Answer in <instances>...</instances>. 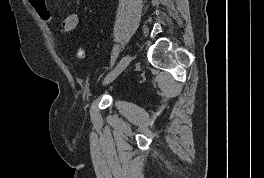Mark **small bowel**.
Here are the masks:
<instances>
[{
	"mask_svg": "<svg viewBox=\"0 0 264 178\" xmlns=\"http://www.w3.org/2000/svg\"><path fill=\"white\" fill-rule=\"evenodd\" d=\"M80 0H74L75 5L79 4ZM79 23V15L77 11H72L63 20L58 23L59 29L62 33L72 32Z\"/></svg>",
	"mask_w": 264,
	"mask_h": 178,
	"instance_id": "obj_1",
	"label": "small bowel"
}]
</instances>
